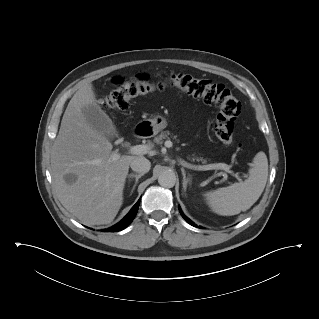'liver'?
Returning <instances> with one entry per match:
<instances>
[{
  "mask_svg": "<svg viewBox=\"0 0 319 319\" xmlns=\"http://www.w3.org/2000/svg\"><path fill=\"white\" fill-rule=\"evenodd\" d=\"M96 105L91 83L71 98L51 150V173L61 204L83 224H109L123 204L129 165L136 156L112 160V144L86 120L83 109ZM76 177L67 183L65 176Z\"/></svg>",
  "mask_w": 319,
  "mask_h": 319,
  "instance_id": "liver-1",
  "label": "liver"
}]
</instances>
